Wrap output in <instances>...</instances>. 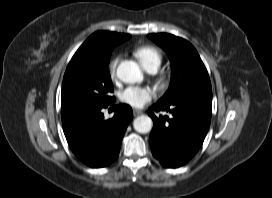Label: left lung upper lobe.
I'll return each mask as SVG.
<instances>
[{"mask_svg":"<svg viewBox=\"0 0 272 198\" xmlns=\"http://www.w3.org/2000/svg\"><path fill=\"white\" fill-rule=\"evenodd\" d=\"M148 38L166 51L172 69L170 86L158 102L193 100L212 103L209 75L193 45L167 33L149 34Z\"/></svg>","mask_w":272,"mask_h":198,"instance_id":"1","label":"left lung upper lobe"}]
</instances>
